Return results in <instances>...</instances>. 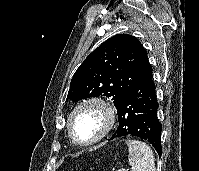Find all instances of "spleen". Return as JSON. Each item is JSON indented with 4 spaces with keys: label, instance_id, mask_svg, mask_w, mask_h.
<instances>
[{
    "label": "spleen",
    "instance_id": "1",
    "mask_svg": "<svg viewBox=\"0 0 199 171\" xmlns=\"http://www.w3.org/2000/svg\"><path fill=\"white\" fill-rule=\"evenodd\" d=\"M129 150V165L133 171H155V158L151 148L142 141H126Z\"/></svg>",
    "mask_w": 199,
    "mask_h": 171
}]
</instances>
